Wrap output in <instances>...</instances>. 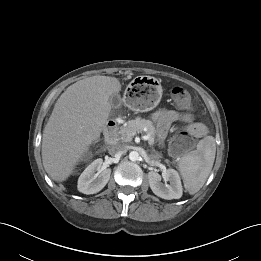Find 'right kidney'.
I'll use <instances>...</instances> for the list:
<instances>
[{
	"label": "right kidney",
	"mask_w": 261,
	"mask_h": 261,
	"mask_svg": "<svg viewBox=\"0 0 261 261\" xmlns=\"http://www.w3.org/2000/svg\"><path fill=\"white\" fill-rule=\"evenodd\" d=\"M111 169L103 165L101 158L94 160L80 175L78 190L84 194L101 191L110 179Z\"/></svg>",
	"instance_id": "right-kidney-1"
}]
</instances>
